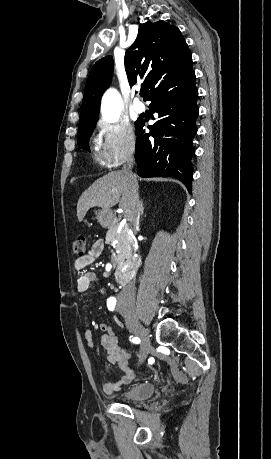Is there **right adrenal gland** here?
Returning <instances> with one entry per match:
<instances>
[{
  "instance_id": "1",
  "label": "right adrenal gland",
  "mask_w": 271,
  "mask_h": 459,
  "mask_svg": "<svg viewBox=\"0 0 271 459\" xmlns=\"http://www.w3.org/2000/svg\"><path fill=\"white\" fill-rule=\"evenodd\" d=\"M142 204H143V202H141V208H142V212H141V214H143V210H144V208H143Z\"/></svg>"
}]
</instances>
